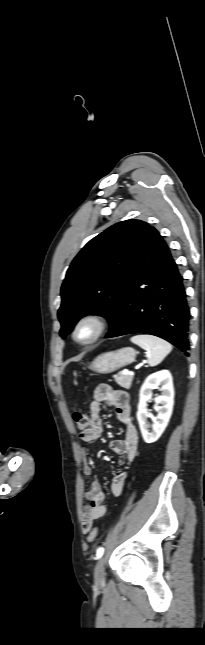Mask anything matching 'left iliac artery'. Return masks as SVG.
<instances>
[{"mask_svg":"<svg viewBox=\"0 0 205 645\" xmlns=\"http://www.w3.org/2000/svg\"><path fill=\"white\" fill-rule=\"evenodd\" d=\"M103 553H104V548L103 547L99 548L96 552L97 559L101 558Z\"/></svg>","mask_w":205,"mask_h":645,"instance_id":"1","label":"left iliac artery"}]
</instances>
